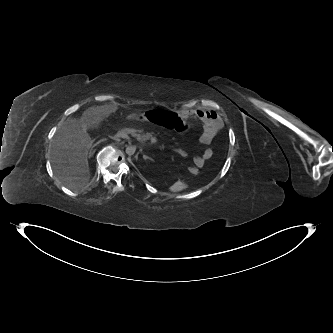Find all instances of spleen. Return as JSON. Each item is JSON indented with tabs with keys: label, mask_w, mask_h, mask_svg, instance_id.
<instances>
[{
	"label": "spleen",
	"mask_w": 333,
	"mask_h": 333,
	"mask_svg": "<svg viewBox=\"0 0 333 333\" xmlns=\"http://www.w3.org/2000/svg\"><path fill=\"white\" fill-rule=\"evenodd\" d=\"M186 188H187V184H185L182 181H177L169 189L172 192H180V191H182V190H184Z\"/></svg>",
	"instance_id": "spleen-1"
}]
</instances>
